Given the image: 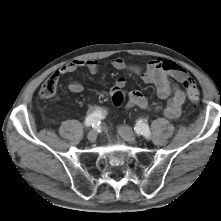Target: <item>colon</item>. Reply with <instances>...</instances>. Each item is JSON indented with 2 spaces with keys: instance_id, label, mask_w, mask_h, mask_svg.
<instances>
[{
  "instance_id": "1",
  "label": "colon",
  "mask_w": 221,
  "mask_h": 221,
  "mask_svg": "<svg viewBox=\"0 0 221 221\" xmlns=\"http://www.w3.org/2000/svg\"><path fill=\"white\" fill-rule=\"evenodd\" d=\"M58 83H59L58 78L54 76L47 78L40 86L39 97L42 99H47V98L54 96L58 89ZM183 85L185 87V90H186V93L190 102L194 106H197L199 104L200 97H199V93L196 88L195 82L191 78L188 77L184 79ZM111 99H112V103L114 106L116 107L120 106L124 100L123 90H116L112 94Z\"/></svg>"
}]
</instances>
